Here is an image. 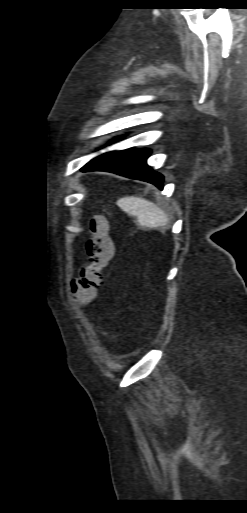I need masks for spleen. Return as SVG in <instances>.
Here are the masks:
<instances>
[{"label": "spleen", "instance_id": "3e777b00", "mask_svg": "<svg viewBox=\"0 0 247 513\" xmlns=\"http://www.w3.org/2000/svg\"><path fill=\"white\" fill-rule=\"evenodd\" d=\"M117 204L123 211L135 216L142 226L154 228L164 225L167 221L163 210L149 200L137 196H127L119 199Z\"/></svg>", "mask_w": 247, "mask_h": 513}]
</instances>
